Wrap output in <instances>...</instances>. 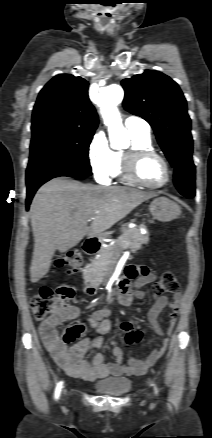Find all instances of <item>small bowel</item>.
<instances>
[{
  "mask_svg": "<svg viewBox=\"0 0 212 438\" xmlns=\"http://www.w3.org/2000/svg\"><path fill=\"white\" fill-rule=\"evenodd\" d=\"M137 278L133 287L128 283V279ZM156 279L146 265H128L125 269V280L122 281L118 290V301L123 306H129L133 299L144 300L147 295L141 288ZM182 300V293L177 292L172 300L164 296H155L153 304L148 312V320L153 331L162 337L169 336L176 322L178 310ZM169 308L170 322L167 327L159 323V315L165 308ZM110 311L100 309L93 312L87 322L100 334H106L111 330V323L108 320ZM80 318V311L77 307L67 303H62L57 317L50 322H43L39 325L40 335L56 363L68 375L81 378L85 381H94L108 375H141L144 374L152 365L160 359L166 349L167 339L162 345L153 349L148 355L142 358L130 357L128 363H124L123 350L115 341L111 340V352L114 357L112 362H105L102 352H97L91 360L86 356L92 349H99L104 344L103 337L96 339L83 338L76 343L68 346L69 343L63 341L56 333V326L60 323L72 321ZM121 329L126 332L125 341L131 345L138 343L142 338L141 331H133L129 323H122Z\"/></svg>",
  "mask_w": 212,
  "mask_h": 438,
  "instance_id": "small-bowel-1",
  "label": "small bowel"
}]
</instances>
